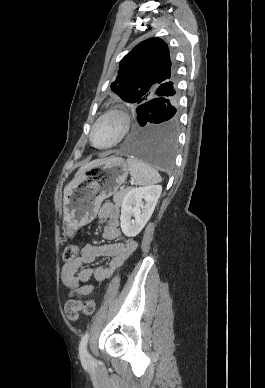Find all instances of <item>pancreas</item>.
<instances>
[{
    "label": "pancreas",
    "instance_id": "obj_1",
    "mask_svg": "<svg viewBox=\"0 0 265 388\" xmlns=\"http://www.w3.org/2000/svg\"><path fill=\"white\" fill-rule=\"evenodd\" d=\"M130 188H126V190H119V192H117V194H115L114 198H113V202H115L116 206H121L122 204V200L125 196V194H127V192H129Z\"/></svg>",
    "mask_w": 265,
    "mask_h": 388
}]
</instances>
